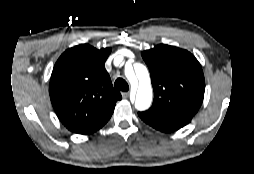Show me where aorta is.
<instances>
[{
    "mask_svg": "<svg viewBox=\"0 0 254 174\" xmlns=\"http://www.w3.org/2000/svg\"><path fill=\"white\" fill-rule=\"evenodd\" d=\"M125 75L130 82L137 80L138 88L135 99V108L139 111L147 110L152 103V86L147 68L140 63L126 67Z\"/></svg>",
    "mask_w": 254,
    "mask_h": 174,
    "instance_id": "1",
    "label": "aorta"
}]
</instances>
